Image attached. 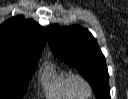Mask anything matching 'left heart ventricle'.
<instances>
[{
  "label": "left heart ventricle",
  "mask_w": 128,
  "mask_h": 99,
  "mask_svg": "<svg viewBox=\"0 0 128 99\" xmlns=\"http://www.w3.org/2000/svg\"><path fill=\"white\" fill-rule=\"evenodd\" d=\"M76 90L80 96H86L88 94V90H87L86 86L82 83H78L76 85Z\"/></svg>",
  "instance_id": "obj_1"
}]
</instances>
